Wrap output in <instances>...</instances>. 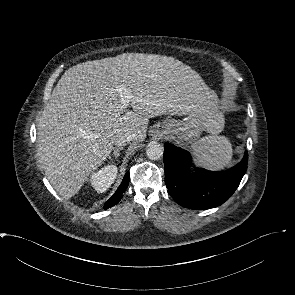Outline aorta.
I'll return each mask as SVG.
<instances>
[{
  "instance_id": "1",
  "label": "aorta",
  "mask_w": 295,
  "mask_h": 295,
  "mask_svg": "<svg viewBox=\"0 0 295 295\" xmlns=\"http://www.w3.org/2000/svg\"><path fill=\"white\" fill-rule=\"evenodd\" d=\"M164 148L158 142H150L146 148V155L151 160H158L163 156Z\"/></svg>"
}]
</instances>
